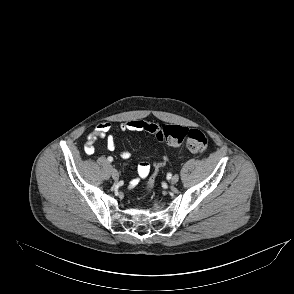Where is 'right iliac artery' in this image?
Returning <instances> with one entry per match:
<instances>
[{
	"instance_id": "1",
	"label": "right iliac artery",
	"mask_w": 294,
	"mask_h": 294,
	"mask_svg": "<svg viewBox=\"0 0 294 294\" xmlns=\"http://www.w3.org/2000/svg\"><path fill=\"white\" fill-rule=\"evenodd\" d=\"M108 161L109 162H112L113 161V158L112 157H108Z\"/></svg>"
}]
</instances>
